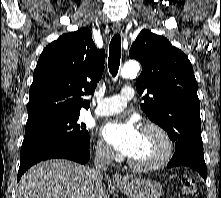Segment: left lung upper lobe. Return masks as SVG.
<instances>
[{
    "label": "left lung upper lobe",
    "instance_id": "1",
    "mask_svg": "<svg viewBox=\"0 0 221 198\" xmlns=\"http://www.w3.org/2000/svg\"><path fill=\"white\" fill-rule=\"evenodd\" d=\"M142 64L136 89L143 96L142 111L162 127L175 152L203 151L197 81L188 57L163 36L142 30L129 51Z\"/></svg>",
    "mask_w": 221,
    "mask_h": 198
}]
</instances>
